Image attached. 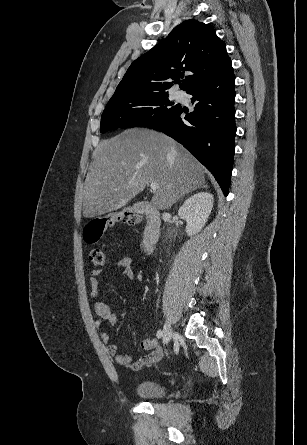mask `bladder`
I'll return each mask as SVG.
<instances>
[{
	"instance_id": "obj_1",
	"label": "bladder",
	"mask_w": 307,
	"mask_h": 445,
	"mask_svg": "<svg viewBox=\"0 0 307 445\" xmlns=\"http://www.w3.org/2000/svg\"><path fill=\"white\" fill-rule=\"evenodd\" d=\"M135 392L144 399H159L167 395L168 387L157 380H145L136 385Z\"/></svg>"
}]
</instances>
